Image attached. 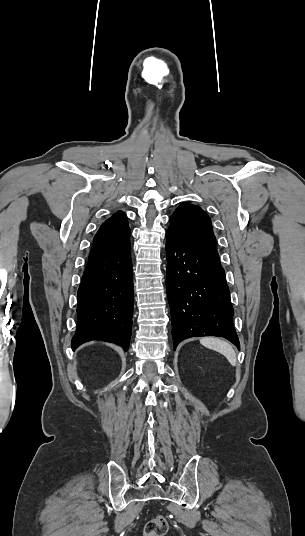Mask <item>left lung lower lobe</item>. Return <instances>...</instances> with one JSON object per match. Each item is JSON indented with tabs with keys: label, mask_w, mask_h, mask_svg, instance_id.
I'll list each match as a JSON object with an SVG mask.
<instances>
[{
	"label": "left lung lower lobe",
	"mask_w": 305,
	"mask_h": 536,
	"mask_svg": "<svg viewBox=\"0 0 305 536\" xmlns=\"http://www.w3.org/2000/svg\"><path fill=\"white\" fill-rule=\"evenodd\" d=\"M166 289L174 348L195 336H220L240 349L226 276L214 248L186 243L166 233Z\"/></svg>",
	"instance_id": "obj_1"
}]
</instances>
